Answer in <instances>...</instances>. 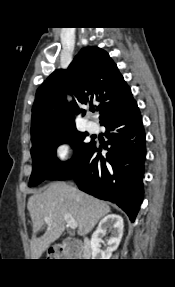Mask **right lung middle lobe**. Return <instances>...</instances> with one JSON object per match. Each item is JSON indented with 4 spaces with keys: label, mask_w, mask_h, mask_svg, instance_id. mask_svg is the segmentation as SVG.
<instances>
[{
    "label": "right lung middle lobe",
    "mask_w": 175,
    "mask_h": 287,
    "mask_svg": "<svg viewBox=\"0 0 175 287\" xmlns=\"http://www.w3.org/2000/svg\"><path fill=\"white\" fill-rule=\"evenodd\" d=\"M86 133L71 128L32 143L33 170L29 186H35L45 179L57 180L74 170L85 158L93 141L85 143ZM62 143H71L76 149L71 160L61 163L56 157V148Z\"/></svg>",
    "instance_id": "right-lung-middle-lobe-1"
}]
</instances>
